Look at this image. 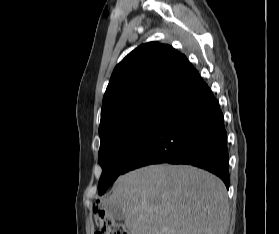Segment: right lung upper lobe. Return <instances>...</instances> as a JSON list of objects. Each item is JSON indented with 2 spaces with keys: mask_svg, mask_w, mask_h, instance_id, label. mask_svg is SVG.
Segmentation results:
<instances>
[{
  "mask_svg": "<svg viewBox=\"0 0 279 234\" xmlns=\"http://www.w3.org/2000/svg\"><path fill=\"white\" fill-rule=\"evenodd\" d=\"M199 78L186 56L172 46L142 44L115 67L104 94L100 125L145 106L169 107Z\"/></svg>",
  "mask_w": 279,
  "mask_h": 234,
  "instance_id": "right-lung-upper-lobe-1",
  "label": "right lung upper lobe"
}]
</instances>
